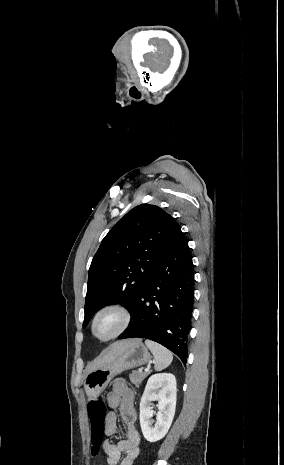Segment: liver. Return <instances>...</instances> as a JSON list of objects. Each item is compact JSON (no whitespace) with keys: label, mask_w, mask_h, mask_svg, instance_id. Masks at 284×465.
<instances>
[{"label":"liver","mask_w":284,"mask_h":465,"mask_svg":"<svg viewBox=\"0 0 284 465\" xmlns=\"http://www.w3.org/2000/svg\"><path fill=\"white\" fill-rule=\"evenodd\" d=\"M141 339H129V341H118V343H114L112 345L109 353L107 355H104V357H101V359H95L93 361L89 373H92V371H95V369H99V367H104V365H108V363H111V361H114L122 351H125V349H128V347H131V345H135V343H140Z\"/></svg>","instance_id":"obj_1"}]
</instances>
